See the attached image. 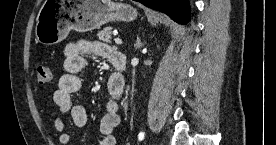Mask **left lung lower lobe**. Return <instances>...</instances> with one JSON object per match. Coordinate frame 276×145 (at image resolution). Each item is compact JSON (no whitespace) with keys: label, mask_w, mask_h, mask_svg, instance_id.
<instances>
[{"label":"left lung lower lobe","mask_w":276,"mask_h":145,"mask_svg":"<svg viewBox=\"0 0 276 145\" xmlns=\"http://www.w3.org/2000/svg\"><path fill=\"white\" fill-rule=\"evenodd\" d=\"M145 6L166 13L174 21L186 24L189 20L188 0H135Z\"/></svg>","instance_id":"left-lung-lower-lobe-1"}]
</instances>
